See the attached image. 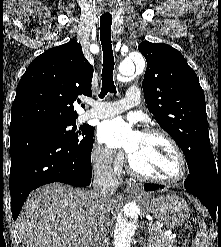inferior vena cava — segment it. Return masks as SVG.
Here are the masks:
<instances>
[{"label":"inferior vena cava","mask_w":221,"mask_h":247,"mask_svg":"<svg viewBox=\"0 0 221 247\" xmlns=\"http://www.w3.org/2000/svg\"><path fill=\"white\" fill-rule=\"evenodd\" d=\"M112 155L105 153L99 164L94 167L93 172V190L90 191V196L93 201L94 208L100 215V220L94 229L93 246L106 247V227L107 222V207L108 202L119 183L116 175L111 167Z\"/></svg>","instance_id":"1"}]
</instances>
